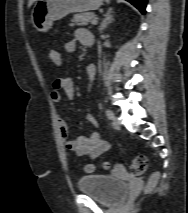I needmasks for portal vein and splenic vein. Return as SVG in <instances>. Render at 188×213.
I'll return each mask as SVG.
<instances>
[{
  "label": "portal vein and splenic vein",
  "mask_w": 188,
  "mask_h": 213,
  "mask_svg": "<svg viewBox=\"0 0 188 213\" xmlns=\"http://www.w3.org/2000/svg\"><path fill=\"white\" fill-rule=\"evenodd\" d=\"M97 22H98L97 19H92V20H91V24H92V25H96Z\"/></svg>",
  "instance_id": "portal-vein-and-splenic-vein-1"
}]
</instances>
